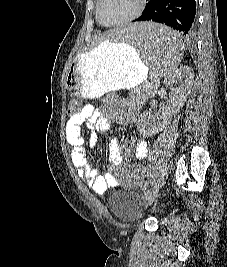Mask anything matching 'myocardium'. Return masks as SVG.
<instances>
[{"instance_id":"f54148a6","label":"myocardium","mask_w":227,"mask_h":267,"mask_svg":"<svg viewBox=\"0 0 227 267\" xmlns=\"http://www.w3.org/2000/svg\"><path fill=\"white\" fill-rule=\"evenodd\" d=\"M102 1L103 0H97V6H96V15L98 20L106 26H116V25H121V24H125V23H129L135 19H137L144 11L145 7H146V3L147 0H138V6L137 9L128 17L115 21V22H111V23H107L102 19L101 16V5H102Z\"/></svg>"}]
</instances>
